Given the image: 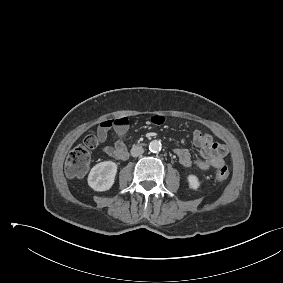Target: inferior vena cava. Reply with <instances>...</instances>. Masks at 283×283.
Listing matches in <instances>:
<instances>
[{"instance_id": "obj_1", "label": "inferior vena cava", "mask_w": 283, "mask_h": 283, "mask_svg": "<svg viewBox=\"0 0 283 283\" xmlns=\"http://www.w3.org/2000/svg\"><path fill=\"white\" fill-rule=\"evenodd\" d=\"M144 153V149L141 146H133L131 149V155L133 157H138Z\"/></svg>"}]
</instances>
